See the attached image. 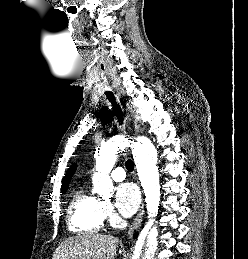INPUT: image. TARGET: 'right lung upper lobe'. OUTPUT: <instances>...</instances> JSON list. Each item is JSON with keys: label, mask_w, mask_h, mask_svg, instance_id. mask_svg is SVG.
I'll return each instance as SVG.
<instances>
[{"label": "right lung upper lobe", "mask_w": 248, "mask_h": 259, "mask_svg": "<svg viewBox=\"0 0 248 259\" xmlns=\"http://www.w3.org/2000/svg\"><path fill=\"white\" fill-rule=\"evenodd\" d=\"M75 167L76 165H72L71 168L67 171L66 175L63 178V182H62L63 185L61 190H67L71 177L75 172Z\"/></svg>", "instance_id": "obj_1"}]
</instances>
